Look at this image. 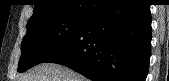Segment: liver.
<instances>
[{
  "label": "liver",
  "instance_id": "liver-1",
  "mask_svg": "<svg viewBox=\"0 0 169 81\" xmlns=\"http://www.w3.org/2000/svg\"><path fill=\"white\" fill-rule=\"evenodd\" d=\"M18 81H87V78L59 64L41 63L21 75Z\"/></svg>",
  "mask_w": 169,
  "mask_h": 81
}]
</instances>
